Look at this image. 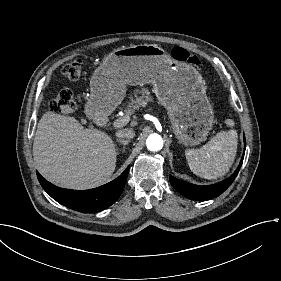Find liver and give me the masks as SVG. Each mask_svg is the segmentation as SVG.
<instances>
[{
    "mask_svg": "<svg viewBox=\"0 0 281 281\" xmlns=\"http://www.w3.org/2000/svg\"><path fill=\"white\" fill-rule=\"evenodd\" d=\"M33 156L48 181L74 190L104 184L116 167L115 145L109 135L84 128L74 117L52 112L38 122Z\"/></svg>",
    "mask_w": 281,
    "mask_h": 281,
    "instance_id": "6515ba94",
    "label": "liver"
}]
</instances>
